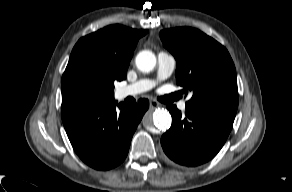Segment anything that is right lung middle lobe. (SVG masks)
I'll return each mask as SVG.
<instances>
[{"label":"right lung middle lobe","mask_w":292,"mask_h":192,"mask_svg":"<svg viewBox=\"0 0 292 192\" xmlns=\"http://www.w3.org/2000/svg\"><path fill=\"white\" fill-rule=\"evenodd\" d=\"M61 87L62 104L103 105L114 100V79L81 61L67 65Z\"/></svg>","instance_id":"dd1d6c3e"}]
</instances>
